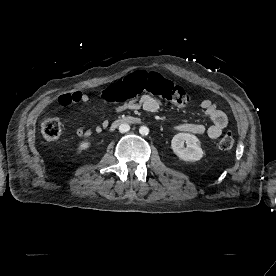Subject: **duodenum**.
I'll return each instance as SVG.
<instances>
[{
  "instance_id": "1",
  "label": "duodenum",
  "mask_w": 276,
  "mask_h": 276,
  "mask_svg": "<svg viewBox=\"0 0 276 276\" xmlns=\"http://www.w3.org/2000/svg\"><path fill=\"white\" fill-rule=\"evenodd\" d=\"M140 119L134 116H123V117H119L117 119H115L112 123H111V129L116 128L118 125L121 124H136L139 123Z\"/></svg>"
}]
</instances>
